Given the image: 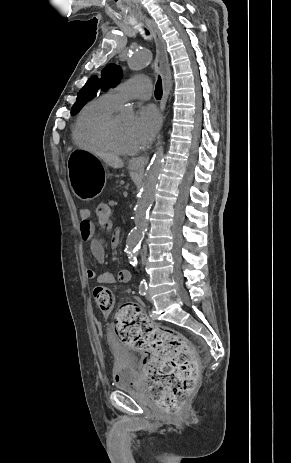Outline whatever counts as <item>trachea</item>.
I'll list each match as a JSON object with an SVG mask.
<instances>
[{"mask_svg": "<svg viewBox=\"0 0 291 463\" xmlns=\"http://www.w3.org/2000/svg\"><path fill=\"white\" fill-rule=\"evenodd\" d=\"M146 34H148V31H146ZM155 97L157 99H161L162 97V81L160 77H158V81L155 87Z\"/></svg>", "mask_w": 291, "mask_h": 463, "instance_id": "trachea-1", "label": "trachea"}]
</instances>
